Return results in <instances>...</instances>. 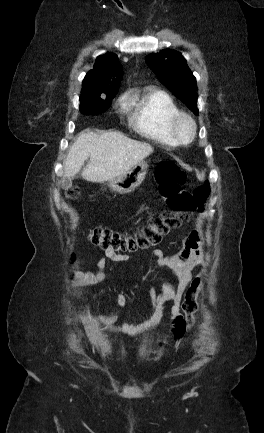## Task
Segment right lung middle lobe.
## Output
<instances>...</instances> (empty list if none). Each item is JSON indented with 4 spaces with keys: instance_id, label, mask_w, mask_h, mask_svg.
<instances>
[{
    "instance_id": "obj_1",
    "label": "right lung middle lobe",
    "mask_w": 264,
    "mask_h": 433,
    "mask_svg": "<svg viewBox=\"0 0 264 433\" xmlns=\"http://www.w3.org/2000/svg\"><path fill=\"white\" fill-rule=\"evenodd\" d=\"M113 97L114 95L104 98L80 99V111L85 115L102 113L109 108Z\"/></svg>"
}]
</instances>
